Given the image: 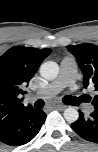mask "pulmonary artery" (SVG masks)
<instances>
[{"instance_id": "e3ab8cb5", "label": "pulmonary artery", "mask_w": 98, "mask_h": 152, "mask_svg": "<svg viewBox=\"0 0 98 152\" xmlns=\"http://www.w3.org/2000/svg\"><path fill=\"white\" fill-rule=\"evenodd\" d=\"M74 84L75 77L72 71V67L67 60H63L60 66L59 76L47 86L38 90L36 96L50 98L58 94L62 89L66 87L74 88Z\"/></svg>"}]
</instances>
